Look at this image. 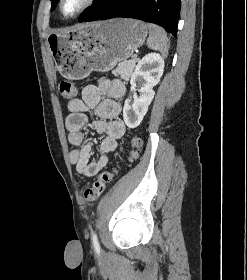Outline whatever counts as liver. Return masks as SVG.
<instances>
[{
  "label": "liver",
  "mask_w": 247,
  "mask_h": 280,
  "mask_svg": "<svg viewBox=\"0 0 247 280\" xmlns=\"http://www.w3.org/2000/svg\"><path fill=\"white\" fill-rule=\"evenodd\" d=\"M82 26H84V25H77L75 28H80V27H82Z\"/></svg>",
  "instance_id": "1"
}]
</instances>
